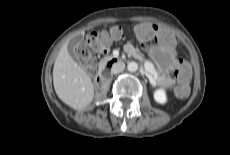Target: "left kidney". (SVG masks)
Segmentation results:
<instances>
[{
    "label": "left kidney",
    "mask_w": 230,
    "mask_h": 155,
    "mask_svg": "<svg viewBox=\"0 0 230 155\" xmlns=\"http://www.w3.org/2000/svg\"><path fill=\"white\" fill-rule=\"evenodd\" d=\"M154 99L161 104H164L167 101L166 93L163 89H157L154 92Z\"/></svg>",
    "instance_id": "5707ae66"
}]
</instances>
